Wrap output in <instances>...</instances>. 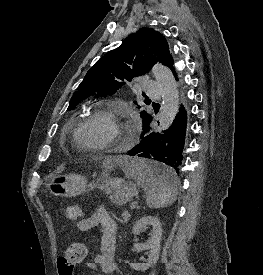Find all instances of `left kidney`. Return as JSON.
<instances>
[{"label":"left kidney","mask_w":263,"mask_h":275,"mask_svg":"<svg viewBox=\"0 0 263 275\" xmlns=\"http://www.w3.org/2000/svg\"><path fill=\"white\" fill-rule=\"evenodd\" d=\"M147 226L152 227V233L146 243L134 244L135 250H149L148 259L145 263H130V267L136 271H146L159 259L160 243L162 236V227L159 219L153 216H144L138 220L133 226V234L139 235Z\"/></svg>","instance_id":"left-kidney-1"}]
</instances>
